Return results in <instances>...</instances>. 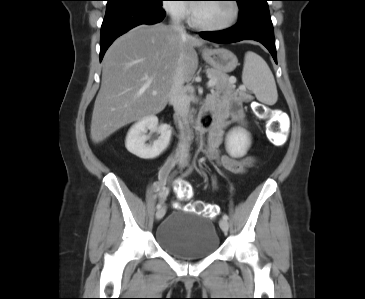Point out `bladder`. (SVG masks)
<instances>
[{
	"label": "bladder",
	"instance_id": "obj_1",
	"mask_svg": "<svg viewBox=\"0 0 365 299\" xmlns=\"http://www.w3.org/2000/svg\"><path fill=\"white\" fill-rule=\"evenodd\" d=\"M156 243L180 259H201L212 255L220 245L214 222L205 216L176 209L157 227Z\"/></svg>",
	"mask_w": 365,
	"mask_h": 299
}]
</instances>
